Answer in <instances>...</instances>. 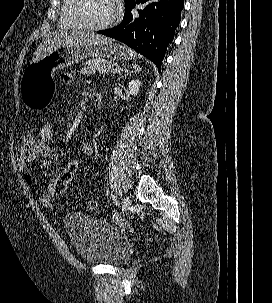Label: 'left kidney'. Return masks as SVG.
<instances>
[{"label":"left kidney","mask_w":272,"mask_h":303,"mask_svg":"<svg viewBox=\"0 0 272 303\" xmlns=\"http://www.w3.org/2000/svg\"><path fill=\"white\" fill-rule=\"evenodd\" d=\"M141 84L142 83L139 79L130 81L128 84L129 93L133 96H136L139 93V88Z\"/></svg>","instance_id":"5707ae66"}]
</instances>
